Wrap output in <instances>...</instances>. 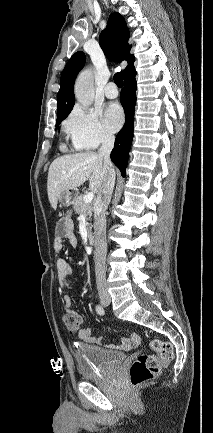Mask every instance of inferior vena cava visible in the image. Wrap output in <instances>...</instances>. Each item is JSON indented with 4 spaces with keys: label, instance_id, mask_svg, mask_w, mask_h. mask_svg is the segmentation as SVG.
<instances>
[{
    "label": "inferior vena cava",
    "instance_id": "602c4592",
    "mask_svg": "<svg viewBox=\"0 0 213 433\" xmlns=\"http://www.w3.org/2000/svg\"><path fill=\"white\" fill-rule=\"evenodd\" d=\"M114 146V135L104 133L102 136V145L98 150L99 157L103 158L105 175L98 197L94 203V261L96 284L99 293L107 291L106 287V216L105 212L111 200L115 184V171L113 169L110 153Z\"/></svg>",
    "mask_w": 213,
    "mask_h": 433
}]
</instances>
